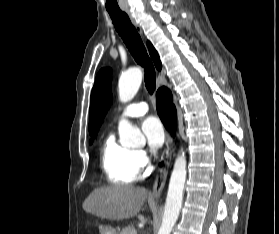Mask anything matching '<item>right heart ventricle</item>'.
Returning a JSON list of instances; mask_svg holds the SVG:
<instances>
[{"label":"right heart ventricle","instance_id":"1","mask_svg":"<svg viewBox=\"0 0 279 234\" xmlns=\"http://www.w3.org/2000/svg\"><path fill=\"white\" fill-rule=\"evenodd\" d=\"M101 166L108 181L115 185L130 184L139 178L136 151L121 145L113 134L102 145Z\"/></svg>","mask_w":279,"mask_h":234}]
</instances>
